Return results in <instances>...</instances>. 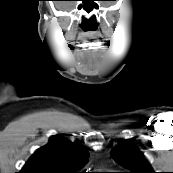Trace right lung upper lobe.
I'll return each instance as SVG.
<instances>
[{
	"mask_svg": "<svg viewBox=\"0 0 173 173\" xmlns=\"http://www.w3.org/2000/svg\"><path fill=\"white\" fill-rule=\"evenodd\" d=\"M87 160L86 148L54 135L46 146L34 152L19 173H79Z\"/></svg>",
	"mask_w": 173,
	"mask_h": 173,
	"instance_id": "right-lung-upper-lobe-1",
	"label": "right lung upper lobe"
}]
</instances>
